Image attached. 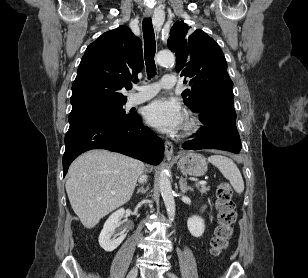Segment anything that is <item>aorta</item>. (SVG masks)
Instances as JSON below:
<instances>
[{
    "mask_svg": "<svg viewBox=\"0 0 308 278\" xmlns=\"http://www.w3.org/2000/svg\"><path fill=\"white\" fill-rule=\"evenodd\" d=\"M156 61L161 66H170L175 62V57L170 51H160L156 56ZM159 189L164 200L167 214L170 218L175 216L174 192L169 180V173L165 168H161L159 176Z\"/></svg>",
    "mask_w": 308,
    "mask_h": 278,
    "instance_id": "aorta-1",
    "label": "aorta"
}]
</instances>
